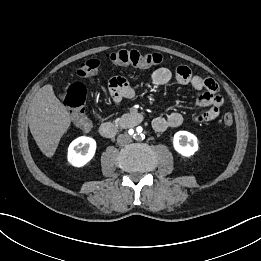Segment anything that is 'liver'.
<instances>
[{
    "instance_id": "1",
    "label": "liver",
    "mask_w": 261,
    "mask_h": 261,
    "mask_svg": "<svg viewBox=\"0 0 261 261\" xmlns=\"http://www.w3.org/2000/svg\"><path fill=\"white\" fill-rule=\"evenodd\" d=\"M27 114L36 144L44 155L52 157L71 123L69 112L55 96L52 85L47 84L38 90Z\"/></svg>"
}]
</instances>
